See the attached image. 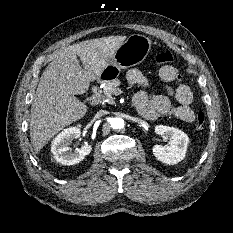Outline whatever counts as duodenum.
I'll return each mask as SVG.
<instances>
[{"label":"duodenum","instance_id":"obj_1","mask_svg":"<svg viewBox=\"0 0 233 233\" xmlns=\"http://www.w3.org/2000/svg\"><path fill=\"white\" fill-rule=\"evenodd\" d=\"M99 101V89L97 86L93 87L92 95L89 98V103L91 105H96Z\"/></svg>","mask_w":233,"mask_h":233}]
</instances>
